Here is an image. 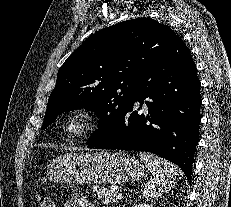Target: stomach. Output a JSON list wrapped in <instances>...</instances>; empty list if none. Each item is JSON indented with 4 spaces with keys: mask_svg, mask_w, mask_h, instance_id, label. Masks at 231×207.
I'll list each match as a JSON object with an SVG mask.
<instances>
[{
    "mask_svg": "<svg viewBox=\"0 0 231 207\" xmlns=\"http://www.w3.org/2000/svg\"><path fill=\"white\" fill-rule=\"evenodd\" d=\"M145 167L121 152H72L56 157L48 166L50 180L70 184H123L140 180Z\"/></svg>",
    "mask_w": 231,
    "mask_h": 207,
    "instance_id": "0dacf381",
    "label": "stomach"
}]
</instances>
